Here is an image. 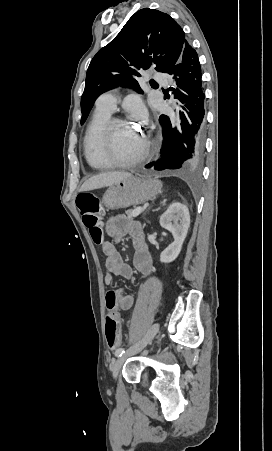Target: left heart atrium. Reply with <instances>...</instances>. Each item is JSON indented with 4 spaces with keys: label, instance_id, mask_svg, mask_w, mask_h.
<instances>
[{
    "label": "left heart atrium",
    "instance_id": "obj_1",
    "mask_svg": "<svg viewBox=\"0 0 272 451\" xmlns=\"http://www.w3.org/2000/svg\"><path fill=\"white\" fill-rule=\"evenodd\" d=\"M131 111L135 114V116L141 120H144L146 117L145 109L141 105H137L131 108Z\"/></svg>",
    "mask_w": 272,
    "mask_h": 451
}]
</instances>
